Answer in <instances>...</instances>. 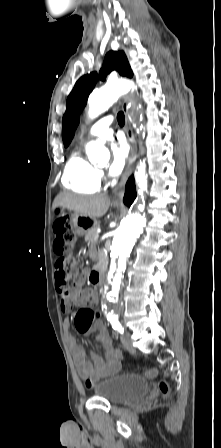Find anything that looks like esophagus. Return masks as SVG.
Instances as JSON below:
<instances>
[{
    "label": "esophagus",
    "instance_id": "34e87169",
    "mask_svg": "<svg viewBox=\"0 0 221 448\" xmlns=\"http://www.w3.org/2000/svg\"><path fill=\"white\" fill-rule=\"evenodd\" d=\"M122 109L125 113V118H126V124H125V131H126V136L127 139L131 145V152H130V156L125 168V171L123 173L122 179L120 181V183L118 184V186L114 189V196H113V203L116 204H122V199H123V195H124V186L126 184V181L130 175V173L132 172V165L137 157V152H136V142H135V138H134V133H133V128H132V124L129 118V102H128V98H125L122 104Z\"/></svg>",
    "mask_w": 221,
    "mask_h": 448
}]
</instances>
